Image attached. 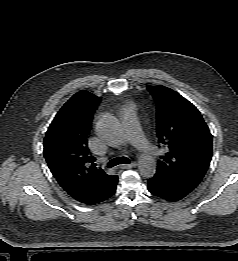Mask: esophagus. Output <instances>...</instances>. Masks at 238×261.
I'll use <instances>...</instances> for the list:
<instances>
[{"label": "esophagus", "instance_id": "34e87169", "mask_svg": "<svg viewBox=\"0 0 238 261\" xmlns=\"http://www.w3.org/2000/svg\"><path fill=\"white\" fill-rule=\"evenodd\" d=\"M135 166H137V163L136 162H132V163L127 164V165H125V164L120 165V168L121 169H129V168H132V167H135Z\"/></svg>", "mask_w": 238, "mask_h": 261}]
</instances>
